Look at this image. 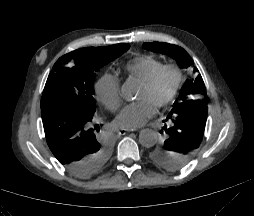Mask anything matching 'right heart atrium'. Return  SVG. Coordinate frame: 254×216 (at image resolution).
<instances>
[{
  "mask_svg": "<svg viewBox=\"0 0 254 216\" xmlns=\"http://www.w3.org/2000/svg\"><path fill=\"white\" fill-rule=\"evenodd\" d=\"M98 101L109 111L118 110L121 105V85L118 78L111 74H104L95 85Z\"/></svg>",
  "mask_w": 254,
  "mask_h": 216,
  "instance_id": "d8ad5b80",
  "label": "right heart atrium"
}]
</instances>
